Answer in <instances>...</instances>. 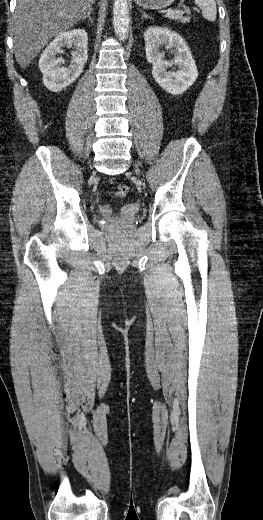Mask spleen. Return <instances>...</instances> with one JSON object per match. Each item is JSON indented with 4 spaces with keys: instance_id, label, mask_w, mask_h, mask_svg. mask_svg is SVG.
Here are the masks:
<instances>
[{
    "instance_id": "obj_1",
    "label": "spleen",
    "mask_w": 263,
    "mask_h": 520,
    "mask_svg": "<svg viewBox=\"0 0 263 520\" xmlns=\"http://www.w3.org/2000/svg\"><path fill=\"white\" fill-rule=\"evenodd\" d=\"M194 2L202 10L205 19L215 21L217 15L215 0H194Z\"/></svg>"
}]
</instances>
